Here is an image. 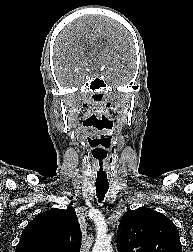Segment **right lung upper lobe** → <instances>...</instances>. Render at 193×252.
<instances>
[{"label": "right lung upper lobe", "instance_id": "right-lung-upper-lobe-1", "mask_svg": "<svg viewBox=\"0 0 193 252\" xmlns=\"http://www.w3.org/2000/svg\"><path fill=\"white\" fill-rule=\"evenodd\" d=\"M81 236L74 209L54 208L29 222L15 252H79Z\"/></svg>", "mask_w": 193, "mask_h": 252}]
</instances>
